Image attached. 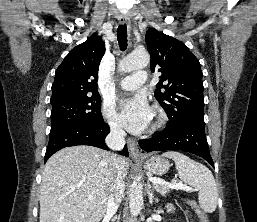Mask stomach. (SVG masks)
<instances>
[{"label":"stomach","mask_w":257,"mask_h":222,"mask_svg":"<svg viewBox=\"0 0 257 222\" xmlns=\"http://www.w3.org/2000/svg\"><path fill=\"white\" fill-rule=\"evenodd\" d=\"M143 167L150 173L154 175H164L170 168V164L168 160L163 158L162 156L156 155L152 156L151 158L147 159L143 163Z\"/></svg>","instance_id":"1"}]
</instances>
